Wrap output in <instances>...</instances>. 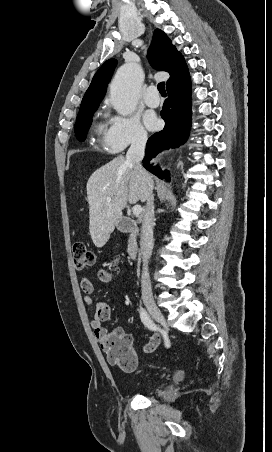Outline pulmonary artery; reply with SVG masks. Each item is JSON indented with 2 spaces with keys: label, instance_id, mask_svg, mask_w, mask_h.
I'll return each mask as SVG.
<instances>
[{
  "label": "pulmonary artery",
  "instance_id": "obj_1",
  "mask_svg": "<svg viewBox=\"0 0 272 452\" xmlns=\"http://www.w3.org/2000/svg\"><path fill=\"white\" fill-rule=\"evenodd\" d=\"M144 102L149 107H158L160 105V97L157 94L155 86H149L144 95Z\"/></svg>",
  "mask_w": 272,
  "mask_h": 452
}]
</instances>
